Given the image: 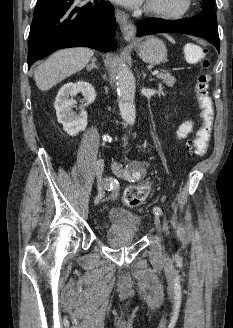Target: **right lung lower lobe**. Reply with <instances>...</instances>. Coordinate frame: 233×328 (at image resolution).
<instances>
[{"label":"right lung lower lobe","instance_id":"right-lung-lower-lobe-1","mask_svg":"<svg viewBox=\"0 0 233 328\" xmlns=\"http://www.w3.org/2000/svg\"><path fill=\"white\" fill-rule=\"evenodd\" d=\"M115 17L105 0H37L28 39V69L55 50L116 49Z\"/></svg>","mask_w":233,"mask_h":328}]
</instances>
